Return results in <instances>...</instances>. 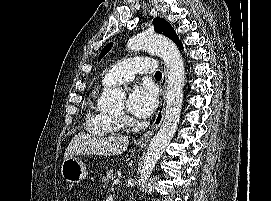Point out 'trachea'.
I'll use <instances>...</instances> for the list:
<instances>
[{"instance_id": "obj_1", "label": "trachea", "mask_w": 271, "mask_h": 201, "mask_svg": "<svg viewBox=\"0 0 271 201\" xmlns=\"http://www.w3.org/2000/svg\"><path fill=\"white\" fill-rule=\"evenodd\" d=\"M155 78L161 79V78H162V73H161L160 71H157V72L155 73Z\"/></svg>"}]
</instances>
